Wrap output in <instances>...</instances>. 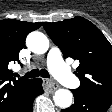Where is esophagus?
I'll use <instances>...</instances> for the list:
<instances>
[{"instance_id":"esophagus-1","label":"esophagus","mask_w":112,"mask_h":112,"mask_svg":"<svg viewBox=\"0 0 112 112\" xmlns=\"http://www.w3.org/2000/svg\"><path fill=\"white\" fill-rule=\"evenodd\" d=\"M43 81L45 84V90L48 91L49 93H53L59 87V85L51 79H44Z\"/></svg>"}]
</instances>
